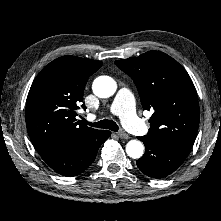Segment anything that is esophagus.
<instances>
[{
  "mask_svg": "<svg viewBox=\"0 0 221 221\" xmlns=\"http://www.w3.org/2000/svg\"><path fill=\"white\" fill-rule=\"evenodd\" d=\"M119 137L124 138V139H128L129 135L125 132V131H119L118 132Z\"/></svg>",
  "mask_w": 221,
  "mask_h": 221,
  "instance_id": "34e87169",
  "label": "esophagus"
}]
</instances>
